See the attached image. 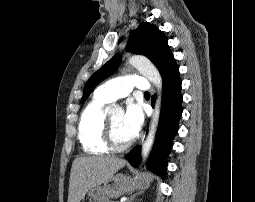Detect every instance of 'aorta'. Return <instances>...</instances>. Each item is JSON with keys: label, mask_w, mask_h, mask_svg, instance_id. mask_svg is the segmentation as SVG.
<instances>
[{"label": "aorta", "mask_w": 255, "mask_h": 202, "mask_svg": "<svg viewBox=\"0 0 255 202\" xmlns=\"http://www.w3.org/2000/svg\"><path fill=\"white\" fill-rule=\"evenodd\" d=\"M129 63L155 85L158 93L154 113L150 122L149 132L146 140L142 143L141 155L142 159L145 160L148 157L153 146L159 123L163 82L158 69L146 57L139 55L132 56L129 59ZM111 111L112 113H118L122 111V108L114 104L111 108Z\"/></svg>", "instance_id": "762f6f07"}]
</instances>
